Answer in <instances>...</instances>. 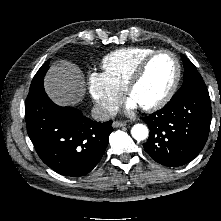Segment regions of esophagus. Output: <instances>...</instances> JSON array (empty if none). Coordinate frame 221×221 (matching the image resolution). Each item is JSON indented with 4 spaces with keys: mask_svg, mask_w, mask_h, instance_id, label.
I'll list each match as a JSON object with an SVG mask.
<instances>
[{
    "mask_svg": "<svg viewBox=\"0 0 221 221\" xmlns=\"http://www.w3.org/2000/svg\"><path fill=\"white\" fill-rule=\"evenodd\" d=\"M127 123L126 122H122V121H114L112 123L113 128H119V127H123L126 126Z\"/></svg>",
    "mask_w": 221,
    "mask_h": 221,
    "instance_id": "1",
    "label": "esophagus"
}]
</instances>
